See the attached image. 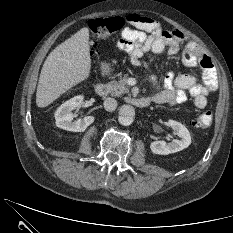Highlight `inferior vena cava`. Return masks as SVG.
<instances>
[{"mask_svg": "<svg viewBox=\"0 0 233 233\" xmlns=\"http://www.w3.org/2000/svg\"><path fill=\"white\" fill-rule=\"evenodd\" d=\"M104 108L107 111H114L117 108V101L111 97L106 98L104 101Z\"/></svg>", "mask_w": 233, "mask_h": 233, "instance_id": "602c4592", "label": "inferior vena cava"}]
</instances>
